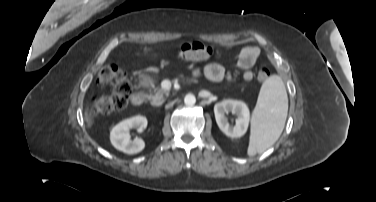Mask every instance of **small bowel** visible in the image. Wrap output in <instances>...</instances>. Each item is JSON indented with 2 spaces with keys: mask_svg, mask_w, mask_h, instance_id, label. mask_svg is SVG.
Listing matches in <instances>:
<instances>
[{
  "mask_svg": "<svg viewBox=\"0 0 376 202\" xmlns=\"http://www.w3.org/2000/svg\"><path fill=\"white\" fill-rule=\"evenodd\" d=\"M259 55L260 50L256 47H246L240 52L238 64L240 68L244 70L242 78L245 81H250L252 79L253 74L250 69L256 62ZM201 74L214 82H219L224 79L232 80L233 78L232 75L230 73H226L223 66L218 63H209L202 68L196 67L192 71L193 78H198Z\"/></svg>",
  "mask_w": 376,
  "mask_h": 202,
  "instance_id": "small-bowel-1",
  "label": "small bowel"
}]
</instances>
